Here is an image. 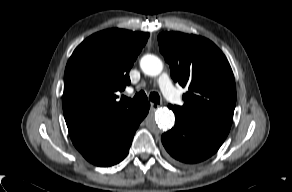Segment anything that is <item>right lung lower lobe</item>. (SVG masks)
<instances>
[{
    "label": "right lung lower lobe",
    "mask_w": 292,
    "mask_h": 192,
    "mask_svg": "<svg viewBox=\"0 0 292 192\" xmlns=\"http://www.w3.org/2000/svg\"><path fill=\"white\" fill-rule=\"evenodd\" d=\"M149 108L147 102L106 120L67 123L70 138L86 160L100 167L112 166L127 156L134 134Z\"/></svg>",
    "instance_id": "obj_1"
}]
</instances>
